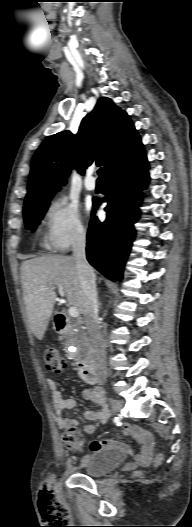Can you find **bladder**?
<instances>
[{"label":"bladder","instance_id":"bladder-1","mask_svg":"<svg viewBox=\"0 0 192 527\" xmlns=\"http://www.w3.org/2000/svg\"><path fill=\"white\" fill-rule=\"evenodd\" d=\"M125 453L117 448L103 447L92 450L89 454L83 457L79 464V470L89 477L105 476L125 461Z\"/></svg>","mask_w":192,"mask_h":527}]
</instances>
